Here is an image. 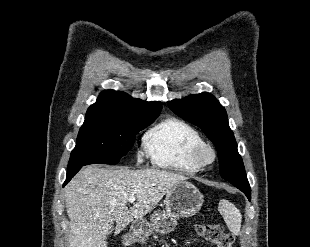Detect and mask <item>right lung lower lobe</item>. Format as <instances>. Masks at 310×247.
<instances>
[{"mask_svg":"<svg viewBox=\"0 0 310 247\" xmlns=\"http://www.w3.org/2000/svg\"><path fill=\"white\" fill-rule=\"evenodd\" d=\"M81 168H82V166L75 167L72 169H67V178H66V181L64 182L63 186H65Z\"/></svg>","mask_w":310,"mask_h":247,"instance_id":"1","label":"right lung lower lobe"}]
</instances>
